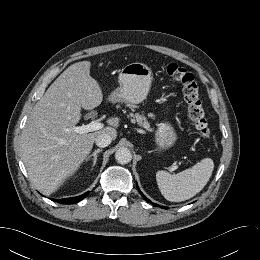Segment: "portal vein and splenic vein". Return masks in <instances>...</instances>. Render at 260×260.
I'll return each instance as SVG.
<instances>
[{
    "instance_id": "portal-vein-and-splenic-vein-1",
    "label": "portal vein and splenic vein",
    "mask_w": 260,
    "mask_h": 260,
    "mask_svg": "<svg viewBox=\"0 0 260 260\" xmlns=\"http://www.w3.org/2000/svg\"><path fill=\"white\" fill-rule=\"evenodd\" d=\"M103 126L104 125L102 123L98 122L97 120H94L87 125L75 126L74 131L78 134L89 133V132L100 130L103 128ZM175 169H176L175 167L172 168V170Z\"/></svg>"
}]
</instances>
